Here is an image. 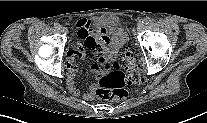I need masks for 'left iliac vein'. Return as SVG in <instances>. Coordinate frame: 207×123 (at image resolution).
Instances as JSON below:
<instances>
[{
	"mask_svg": "<svg viewBox=\"0 0 207 123\" xmlns=\"http://www.w3.org/2000/svg\"><path fill=\"white\" fill-rule=\"evenodd\" d=\"M144 28V23L143 22H139L137 25V31H141Z\"/></svg>",
	"mask_w": 207,
	"mask_h": 123,
	"instance_id": "obj_1",
	"label": "left iliac vein"
}]
</instances>
